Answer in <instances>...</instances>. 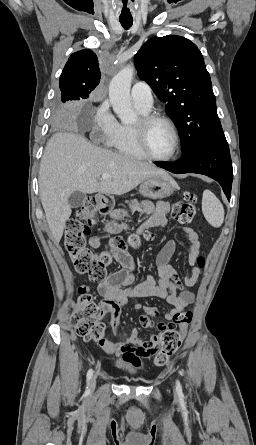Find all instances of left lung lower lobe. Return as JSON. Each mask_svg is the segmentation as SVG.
Returning <instances> with one entry per match:
<instances>
[{
  "mask_svg": "<svg viewBox=\"0 0 256 445\" xmlns=\"http://www.w3.org/2000/svg\"><path fill=\"white\" fill-rule=\"evenodd\" d=\"M157 166L175 174L198 173L216 180L230 200L233 169L226 140L200 144L183 154L177 162H154Z\"/></svg>",
  "mask_w": 256,
  "mask_h": 445,
  "instance_id": "obj_1",
  "label": "left lung lower lobe"
}]
</instances>
